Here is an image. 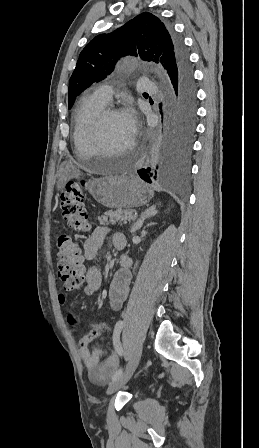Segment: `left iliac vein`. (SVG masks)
I'll return each mask as SVG.
<instances>
[{
    "mask_svg": "<svg viewBox=\"0 0 259 448\" xmlns=\"http://www.w3.org/2000/svg\"><path fill=\"white\" fill-rule=\"evenodd\" d=\"M141 355H142V345L140 344L134 350V353L126 366L124 373H122V375L119 378L112 381V383L108 387V390H107L108 394H112V393L116 392L130 380V378L132 377L134 371L136 370V368L139 364Z\"/></svg>",
    "mask_w": 259,
    "mask_h": 448,
    "instance_id": "left-iliac-vein-1",
    "label": "left iliac vein"
}]
</instances>
